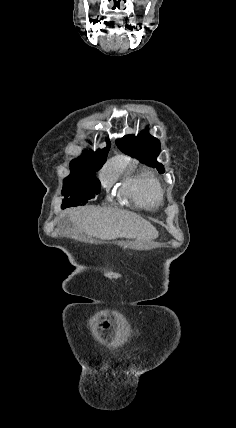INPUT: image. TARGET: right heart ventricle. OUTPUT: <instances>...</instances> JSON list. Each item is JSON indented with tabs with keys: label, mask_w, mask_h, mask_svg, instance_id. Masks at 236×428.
I'll return each instance as SVG.
<instances>
[{
	"label": "right heart ventricle",
	"mask_w": 236,
	"mask_h": 428,
	"mask_svg": "<svg viewBox=\"0 0 236 428\" xmlns=\"http://www.w3.org/2000/svg\"><path fill=\"white\" fill-rule=\"evenodd\" d=\"M122 194L138 205L153 207L162 200L164 188L155 176L141 173L125 181Z\"/></svg>",
	"instance_id": "right-heart-ventricle-1"
}]
</instances>
